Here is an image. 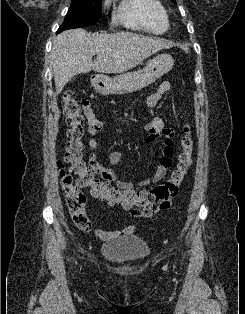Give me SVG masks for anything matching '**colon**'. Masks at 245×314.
<instances>
[{
	"label": "colon",
	"instance_id": "1",
	"mask_svg": "<svg viewBox=\"0 0 245 314\" xmlns=\"http://www.w3.org/2000/svg\"><path fill=\"white\" fill-rule=\"evenodd\" d=\"M64 114L68 125L65 162L68 169H63L62 188L66 204L75 226L82 231L91 229V222L86 213V198L80 188H88L95 198L109 206L123 208L136 207L141 213H162L168 209L177 196L184 177L192 164L193 142L189 125L183 127L181 138L182 152L170 177L152 189L129 191L109 186L97 177L96 171L89 167L83 157L85 118L82 107L85 101H78L71 91L63 94ZM76 177V179H75Z\"/></svg>",
	"mask_w": 245,
	"mask_h": 314
}]
</instances>
